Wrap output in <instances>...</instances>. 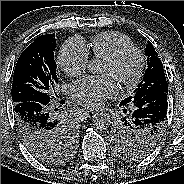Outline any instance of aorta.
Returning <instances> with one entry per match:
<instances>
[{
	"instance_id": "762f6f07",
	"label": "aorta",
	"mask_w": 184,
	"mask_h": 184,
	"mask_svg": "<svg viewBox=\"0 0 184 184\" xmlns=\"http://www.w3.org/2000/svg\"><path fill=\"white\" fill-rule=\"evenodd\" d=\"M89 72L96 74L100 72V65L97 61H90L87 66ZM92 123L94 127L100 130L107 129L111 124V117L106 112H98L93 115Z\"/></svg>"
}]
</instances>
